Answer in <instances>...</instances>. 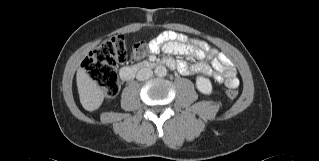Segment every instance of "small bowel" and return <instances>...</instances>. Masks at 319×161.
Returning <instances> with one entry per match:
<instances>
[{"mask_svg": "<svg viewBox=\"0 0 319 161\" xmlns=\"http://www.w3.org/2000/svg\"><path fill=\"white\" fill-rule=\"evenodd\" d=\"M152 54L164 52L166 54L191 56L198 61L188 64L184 61L178 63V71L184 75H211L218 83L227 85L239 84L237 70L230 60L218 53L207 42L195 40L190 42L187 36L175 30H165L158 34L149 44ZM208 60L209 62H206Z\"/></svg>", "mask_w": 319, "mask_h": 161, "instance_id": "obj_1", "label": "small bowel"}]
</instances>
